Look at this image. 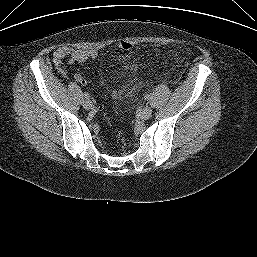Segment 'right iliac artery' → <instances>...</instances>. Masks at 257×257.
Segmentation results:
<instances>
[{"label": "right iliac artery", "instance_id": "82829eb1", "mask_svg": "<svg viewBox=\"0 0 257 257\" xmlns=\"http://www.w3.org/2000/svg\"><path fill=\"white\" fill-rule=\"evenodd\" d=\"M84 97H85L86 99H89V98H90V95L85 92V93H84Z\"/></svg>", "mask_w": 257, "mask_h": 257}]
</instances>
